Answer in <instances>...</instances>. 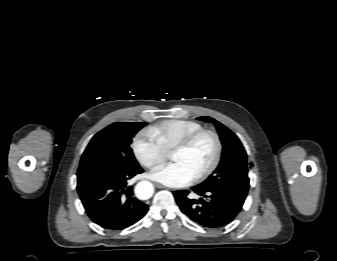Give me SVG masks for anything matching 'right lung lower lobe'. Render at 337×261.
I'll return each instance as SVG.
<instances>
[{
	"mask_svg": "<svg viewBox=\"0 0 337 261\" xmlns=\"http://www.w3.org/2000/svg\"><path fill=\"white\" fill-rule=\"evenodd\" d=\"M142 172L143 169L139 167L78 191L88 216L109 230H122L139 221L148 211V205L134 197L128 182Z\"/></svg>",
	"mask_w": 337,
	"mask_h": 261,
	"instance_id": "obj_1",
	"label": "right lung lower lobe"
}]
</instances>
